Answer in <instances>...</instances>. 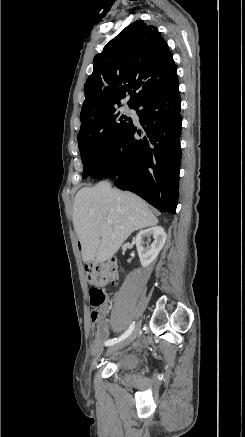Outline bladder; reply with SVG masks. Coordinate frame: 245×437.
I'll use <instances>...</instances> for the list:
<instances>
[{
  "instance_id": "31cf9c89",
  "label": "bladder",
  "mask_w": 245,
  "mask_h": 437,
  "mask_svg": "<svg viewBox=\"0 0 245 437\" xmlns=\"http://www.w3.org/2000/svg\"><path fill=\"white\" fill-rule=\"evenodd\" d=\"M140 364V357L137 354L129 353L121 356L115 363L118 370L132 371Z\"/></svg>"
}]
</instances>
